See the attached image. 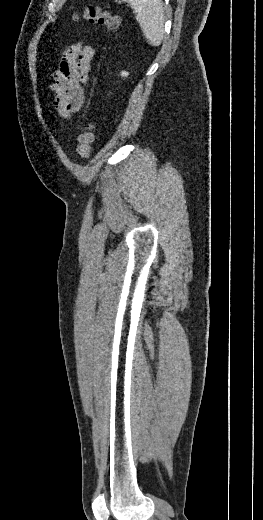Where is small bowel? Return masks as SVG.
<instances>
[{
    "label": "small bowel",
    "instance_id": "small-bowel-1",
    "mask_svg": "<svg viewBox=\"0 0 263 520\" xmlns=\"http://www.w3.org/2000/svg\"><path fill=\"white\" fill-rule=\"evenodd\" d=\"M94 53V47L91 45L72 46L54 72V82L51 85L54 93L53 104L63 118H70L83 106L85 96L82 84L88 81Z\"/></svg>",
    "mask_w": 263,
    "mask_h": 520
}]
</instances>
